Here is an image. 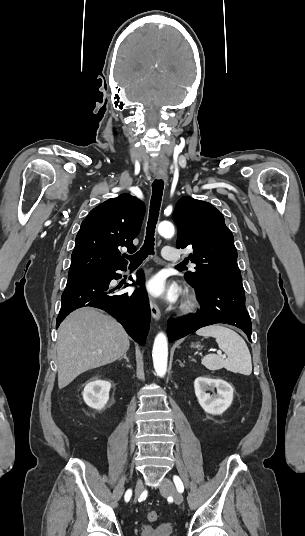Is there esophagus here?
<instances>
[{"label": "esophagus", "instance_id": "obj_1", "mask_svg": "<svg viewBox=\"0 0 305 536\" xmlns=\"http://www.w3.org/2000/svg\"><path fill=\"white\" fill-rule=\"evenodd\" d=\"M156 178L158 180H165V181H167V179H168L167 175H158V176H156ZM149 303H150V309H151V314H152L153 318L155 320L159 321L160 317H161L159 307L157 306L155 300L152 297H150Z\"/></svg>", "mask_w": 305, "mask_h": 536}]
</instances>
